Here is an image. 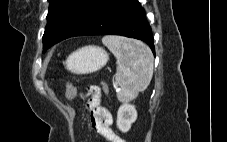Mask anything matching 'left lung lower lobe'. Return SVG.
<instances>
[{
  "instance_id": "left-lung-lower-lobe-1",
  "label": "left lung lower lobe",
  "mask_w": 227,
  "mask_h": 142,
  "mask_svg": "<svg viewBox=\"0 0 227 142\" xmlns=\"http://www.w3.org/2000/svg\"><path fill=\"white\" fill-rule=\"evenodd\" d=\"M83 35H121L139 39L155 54L152 31L138 0H110L71 37Z\"/></svg>"
}]
</instances>
